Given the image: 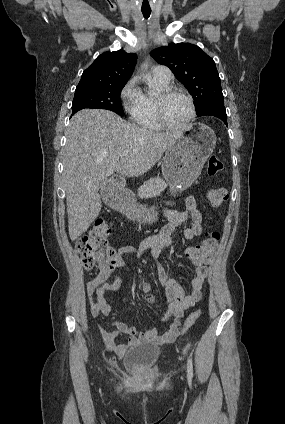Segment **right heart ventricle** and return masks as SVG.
Masks as SVG:
<instances>
[{"instance_id": "e07e8e85", "label": "right heart ventricle", "mask_w": 285, "mask_h": 424, "mask_svg": "<svg viewBox=\"0 0 285 424\" xmlns=\"http://www.w3.org/2000/svg\"><path fill=\"white\" fill-rule=\"evenodd\" d=\"M153 83L160 92L169 89V84L162 83L153 77ZM142 106L141 111L136 121L144 128L148 130L158 131L163 129L160 124L157 113H156V98L149 94H142Z\"/></svg>"}]
</instances>
